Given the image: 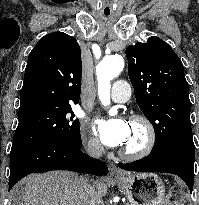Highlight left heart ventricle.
Returning <instances> with one entry per match:
<instances>
[{
	"mask_svg": "<svg viewBox=\"0 0 199 205\" xmlns=\"http://www.w3.org/2000/svg\"><path fill=\"white\" fill-rule=\"evenodd\" d=\"M130 132L126 142L123 144V148L136 149L138 148L144 139V130L137 124L130 123Z\"/></svg>",
	"mask_w": 199,
	"mask_h": 205,
	"instance_id": "b2bd125f",
	"label": "left heart ventricle"
}]
</instances>
